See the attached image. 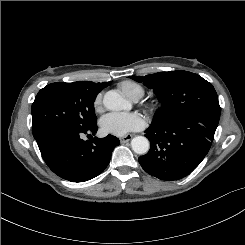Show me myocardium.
<instances>
[{
    "instance_id": "f54148a6",
    "label": "myocardium",
    "mask_w": 245,
    "mask_h": 245,
    "mask_svg": "<svg viewBox=\"0 0 245 245\" xmlns=\"http://www.w3.org/2000/svg\"><path fill=\"white\" fill-rule=\"evenodd\" d=\"M146 108L149 110V111H154L156 108H157V104L156 102H150Z\"/></svg>"
}]
</instances>
